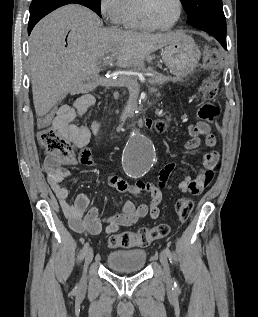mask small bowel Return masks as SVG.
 I'll return each mask as SVG.
<instances>
[{
  "label": "small bowel",
  "mask_w": 258,
  "mask_h": 317,
  "mask_svg": "<svg viewBox=\"0 0 258 317\" xmlns=\"http://www.w3.org/2000/svg\"><path fill=\"white\" fill-rule=\"evenodd\" d=\"M95 105V98L90 94L79 97L73 105H63L52 113L50 121L40 120L39 126L43 127L52 123L53 127L68 141L77 148L85 147L92 135L98 131V124L92 121L88 126L76 123L90 108ZM148 128H153L151 120L144 121ZM187 132L191 136L185 147L188 150L197 148L201 143L200 136H205V145L210 149L203 157L201 167L196 177L186 175L178 184V190L182 193L200 194L212 181L214 169L219 162V152L215 149L216 138L210 132L209 126L204 122L188 124ZM81 163L85 166H93V161L86 152ZM65 162L60 158L50 155L45 159V169L48 182L56 196L59 206L68 220L70 227L78 233L89 232L92 235L117 232L122 227H129L140 219L149 216L156 219L160 213L162 190H171L173 186L168 179L173 172L175 165L167 163L159 173L158 185L138 181L135 184H128L123 178L108 174L107 182L120 192H128L134 196L146 195V201L135 205L126 201L121 213L114 214L107 218L99 215L98 209L90 206L88 197L80 193L76 195L73 203L68 202L69 192L62 182L68 177L69 171L64 167ZM105 225V228H104Z\"/></svg>",
  "instance_id": "obj_1"
}]
</instances>
